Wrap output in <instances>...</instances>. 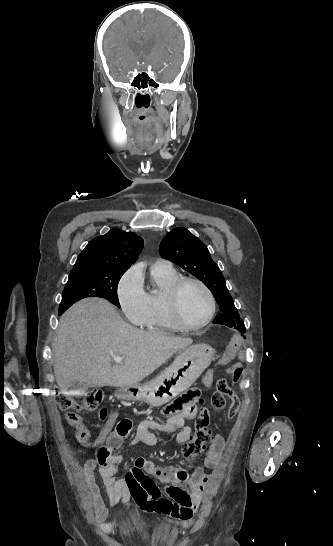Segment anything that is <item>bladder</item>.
Listing matches in <instances>:
<instances>
[{
	"label": "bladder",
	"mask_w": 333,
	"mask_h": 546,
	"mask_svg": "<svg viewBox=\"0 0 333 546\" xmlns=\"http://www.w3.org/2000/svg\"><path fill=\"white\" fill-rule=\"evenodd\" d=\"M143 528H149V525L147 523H142L141 525Z\"/></svg>",
	"instance_id": "31cf9c89"
}]
</instances>
